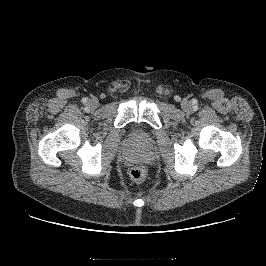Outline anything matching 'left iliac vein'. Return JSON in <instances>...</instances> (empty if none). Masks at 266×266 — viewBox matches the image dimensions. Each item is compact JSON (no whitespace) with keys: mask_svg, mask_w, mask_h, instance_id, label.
<instances>
[{"mask_svg":"<svg viewBox=\"0 0 266 266\" xmlns=\"http://www.w3.org/2000/svg\"><path fill=\"white\" fill-rule=\"evenodd\" d=\"M182 108H183L184 111H189L190 110V105L188 103H184L182 105Z\"/></svg>","mask_w":266,"mask_h":266,"instance_id":"1","label":"left iliac vein"}]
</instances>
